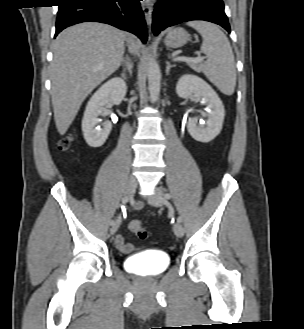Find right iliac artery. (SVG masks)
<instances>
[{
    "instance_id": "82829eb1",
    "label": "right iliac artery",
    "mask_w": 304,
    "mask_h": 329,
    "mask_svg": "<svg viewBox=\"0 0 304 329\" xmlns=\"http://www.w3.org/2000/svg\"><path fill=\"white\" fill-rule=\"evenodd\" d=\"M129 201V197L125 196L122 198V204H126ZM115 224V220L110 221V225Z\"/></svg>"
}]
</instances>
